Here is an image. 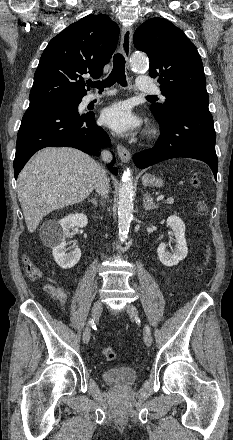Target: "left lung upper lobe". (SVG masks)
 I'll use <instances>...</instances> for the list:
<instances>
[{"label": "left lung upper lobe", "instance_id": "left-lung-upper-lobe-1", "mask_svg": "<svg viewBox=\"0 0 233 440\" xmlns=\"http://www.w3.org/2000/svg\"><path fill=\"white\" fill-rule=\"evenodd\" d=\"M133 42L148 55L149 74L159 78L161 92L166 97L163 104L151 105L158 120L166 121L181 106L208 107L201 57L181 29L166 19L152 18L137 28Z\"/></svg>", "mask_w": 233, "mask_h": 440}]
</instances>
